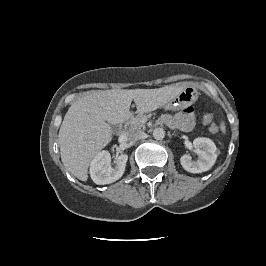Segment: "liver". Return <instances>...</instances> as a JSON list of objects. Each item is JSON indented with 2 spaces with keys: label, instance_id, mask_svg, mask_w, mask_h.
I'll list each match as a JSON object with an SVG mask.
<instances>
[{
  "label": "liver",
  "instance_id": "liver-1",
  "mask_svg": "<svg viewBox=\"0 0 266 266\" xmlns=\"http://www.w3.org/2000/svg\"><path fill=\"white\" fill-rule=\"evenodd\" d=\"M183 86L156 89L92 90L78 98L68 109L59 130L63 165L81 181L88 179V167L112 139L111 125L130 116L134 101L138 113H146L166 104Z\"/></svg>",
  "mask_w": 266,
  "mask_h": 266
}]
</instances>
